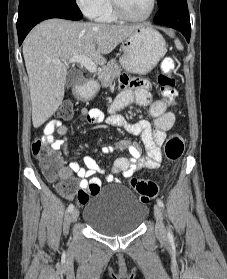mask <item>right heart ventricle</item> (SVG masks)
<instances>
[{"label":"right heart ventricle","instance_id":"obj_1","mask_svg":"<svg viewBox=\"0 0 227 279\" xmlns=\"http://www.w3.org/2000/svg\"><path fill=\"white\" fill-rule=\"evenodd\" d=\"M97 18L103 22H114L119 19V17L114 13L110 2L104 8V10L97 16Z\"/></svg>","mask_w":227,"mask_h":279}]
</instances>
